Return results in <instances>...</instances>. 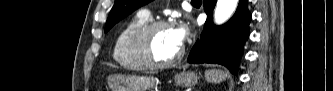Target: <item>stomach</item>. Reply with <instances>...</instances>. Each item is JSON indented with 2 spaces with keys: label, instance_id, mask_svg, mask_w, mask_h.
<instances>
[{
  "label": "stomach",
  "instance_id": "0dacf381",
  "mask_svg": "<svg viewBox=\"0 0 333 91\" xmlns=\"http://www.w3.org/2000/svg\"><path fill=\"white\" fill-rule=\"evenodd\" d=\"M199 77L194 72H182L175 76L178 86H194ZM110 91H149L156 83V79L146 76L134 75H109L106 78Z\"/></svg>",
  "mask_w": 333,
  "mask_h": 91
}]
</instances>
